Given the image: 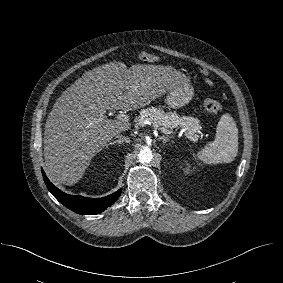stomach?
I'll use <instances>...</instances> for the list:
<instances>
[{"instance_id":"obj_1","label":"stomach","mask_w":283,"mask_h":283,"mask_svg":"<svg viewBox=\"0 0 283 283\" xmlns=\"http://www.w3.org/2000/svg\"><path fill=\"white\" fill-rule=\"evenodd\" d=\"M194 96L193 87L187 80L179 81L166 96V103L170 108L177 109L188 104Z\"/></svg>"}]
</instances>
